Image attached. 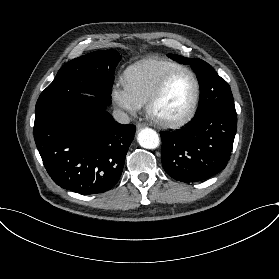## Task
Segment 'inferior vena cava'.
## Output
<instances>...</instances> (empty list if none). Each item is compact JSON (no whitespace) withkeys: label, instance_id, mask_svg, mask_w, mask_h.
Listing matches in <instances>:
<instances>
[{"label":"inferior vena cava","instance_id":"inferior-vena-cava-1","mask_svg":"<svg viewBox=\"0 0 279 279\" xmlns=\"http://www.w3.org/2000/svg\"><path fill=\"white\" fill-rule=\"evenodd\" d=\"M113 118L120 124H129V116L122 110L116 109L113 111Z\"/></svg>","mask_w":279,"mask_h":279}]
</instances>
